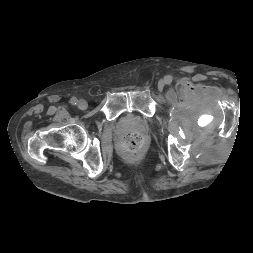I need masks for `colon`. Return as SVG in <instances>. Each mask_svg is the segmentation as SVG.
I'll return each instance as SVG.
<instances>
[{
  "instance_id": "colon-1",
  "label": "colon",
  "mask_w": 253,
  "mask_h": 253,
  "mask_svg": "<svg viewBox=\"0 0 253 253\" xmlns=\"http://www.w3.org/2000/svg\"><path fill=\"white\" fill-rule=\"evenodd\" d=\"M144 145L143 136L140 133H131L124 136L120 141L121 151L131 159L138 157Z\"/></svg>"
}]
</instances>
